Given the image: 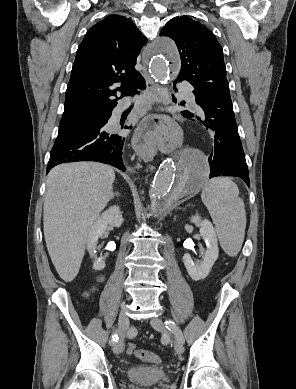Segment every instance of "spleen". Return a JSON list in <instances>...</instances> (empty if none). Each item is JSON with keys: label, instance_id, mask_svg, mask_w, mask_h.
<instances>
[{"label": "spleen", "instance_id": "3e777b00", "mask_svg": "<svg viewBox=\"0 0 296 389\" xmlns=\"http://www.w3.org/2000/svg\"><path fill=\"white\" fill-rule=\"evenodd\" d=\"M201 199L213 220L221 247L229 256H236L246 228L244 202L237 185L225 177L213 178L204 185Z\"/></svg>", "mask_w": 296, "mask_h": 389}]
</instances>
